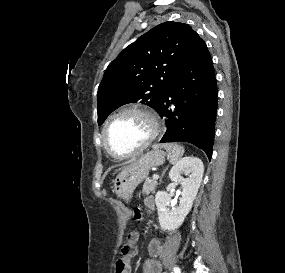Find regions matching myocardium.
Here are the masks:
<instances>
[{"label": "myocardium", "mask_w": 285, "mask_h": 273, "mask_svg": "<svg viewBox=\"0 0 285 273\" xmlns=\"http://www.w3.org/2000/svg\"><path fill=\"white\" fill-rule=\"evenodd\" d=\"M127 113H136V114H139V115L143 116L144 118H146V120L148 121V123L150 125V134H149L148 138L139 147H137L135 150H133L129 153H126V154H119V153L113 151L110 148V146L108 145V143H107V132H108V128H109L110 124L113 122V120H115L117 117L124 115V114H127ZM161 131H162V124H161L160 118L156 114V112H154L152 109H150L149 107H146V106L130 105V106H126V107L119 109L117 112L112 114L108 118V120L105 122L103 129H102V143H103V147L105 148V150L111 156H113L115 158H119V159L130 158V157L138 155L139 153L144 151L147 147H149L158 138Z\"/></svg>", "instance_id": "obj_1"}]
</instances>
